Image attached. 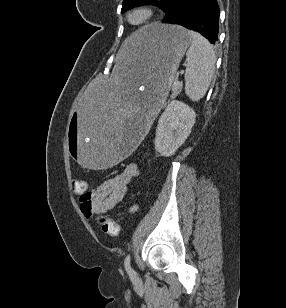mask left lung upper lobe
Returning a JSON list of instances; mask_svg holds the SVG:
<instances>
[{"label": "left lung upper lobe", "instance_id": "left-lung-upper-lobe-1", "mask_svg": "<svg viewBox=\"0 0 286 308\" xmlns=\"http://www.w3.org/2000/svg\"><path fill=\"white\" fill-rule=\"evenodd\" d=\"M172 0H124L121 12H125L135 6L142 4H153L159 6L163 11H167Z\"/></svg>", "mask_w": 286, "mask_h": 308}]
</instances>
